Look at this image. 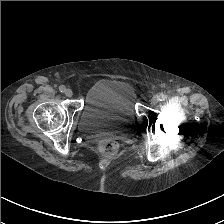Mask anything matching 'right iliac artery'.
Here are the masks:
<instances>
[{"label":"right iliac artery","mask_w":224,"mask_h":224,"mask_svg":"<svg viewBox=\"0 0 224 224\" xmlns=\"http://www.w3.org/2000/svg\"><path fill=\"white\" fill-rule=\"evenodd\" d=\"M59 91H60V92H65V91H66V87H65L64 85H61V86L59 87Z\"/></svg>","instance_id":"1"}]
</instances>
